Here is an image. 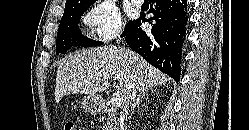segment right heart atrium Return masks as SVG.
<instances>
[{"label": "right heart atrium", "instance_id": "d8ad5b80", "mask_svg": "<svg viewBox=\"0 0 249 130\" xmlns=\"http://www.w3.org/2000/svg\"><path fill=\"white\" fill-rule=\"evenodd\" d=\"M83 22L95 39L109 42L117 38L124 27L119 9L111 2H99L83 16Z\"/></svg>", "mask_w": 249, "mask_h": 130}]
</instances>
